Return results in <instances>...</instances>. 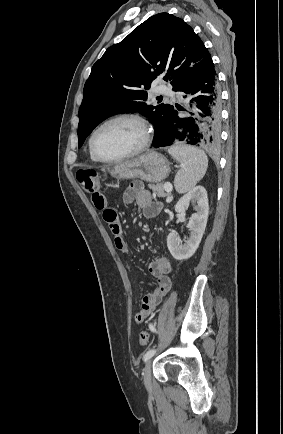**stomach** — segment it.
<instances>
[{
    "instance_id": "0dacf381",
    "label": "stomach",
    "mask_w": 283,
    "mask_h": 434,
    "mask_svg": "<svg viewBox=\"0 0 283 434\" xmlns=\"http://www.w3.org/2000/svg\"><path fill=\"white\" fill-rule=\"evenodd\" d=\"M109 173L116 179L140 178L150 183H160L168 177L170 167L163 155L150 151L130 161L115 165L109 169Z\"/></svg>"
}]
</instances>
